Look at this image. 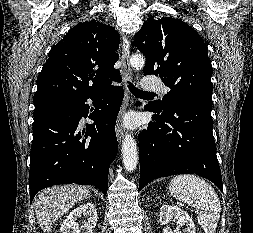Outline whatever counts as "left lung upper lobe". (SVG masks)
<instances>
[{"mask_svg": "<svg viewBox=\"0 0 253 233\" xmlns=\"http://www.w3.org/2000/svg\"><path fill=\"white\" fill-rule=\"evenodd\" d=\"M135 38L134 45L146 56L144 75H159L171 89L154 103L159 110L194 99L212 103L208 48L191 26L173 17L149 18Z\"/></svg>", "mask_w": 253, "mask_h": 233, "instance_id": "5c2ea615", "label": "left lung upper lobe"}]
</instances>
